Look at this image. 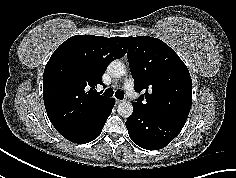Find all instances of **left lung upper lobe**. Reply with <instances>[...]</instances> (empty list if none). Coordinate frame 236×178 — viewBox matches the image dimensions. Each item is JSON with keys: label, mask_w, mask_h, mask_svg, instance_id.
<instances>
[{"label": "left lung upper lobe", "mask_w": 236, "mask_h": 178, "mask_svg": "<svg viewBox=\"0 0 236 178\" xmlns=\"http://www.w3.org/2000/svg\"><path fill=\"white\" fill-rule=\"evenodd\" d=\"M137 92L133 106L153 116L185 124L192 104L188 68L167 44L149 36L124 37Z\"/></svg>", "instance_id": "5c2ea615"}]
</instances>
